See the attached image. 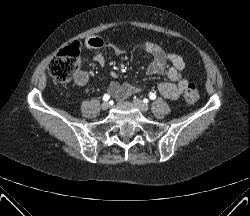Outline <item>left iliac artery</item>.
<instances>
[{
    "mask_svg": "<svg viewBox=\"0 0 250 216\" xmlns=\"http://www.w3.org/2000/svg\"><path fill=\"white\" fill-rule=\"evenodd\" d=\"M149 98L151 100H154L156 98V95L154 93H150Z\"/></svg>",
    "mask_w": 250,
    "mask_h": 216,
    "instance_id": "left-iliac-artery-1",
    "label": "left iliac artery"
}]
</instances>
